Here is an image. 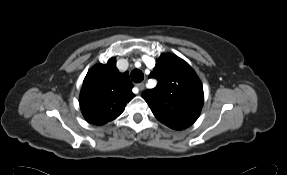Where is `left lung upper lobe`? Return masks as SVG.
<instances>
[{
    "label": "left lung upper lobe",
    "mask_w": 287,
    "mask_h": 175,
    "mask_svg": "<svg viewBox=\"0 0 287 175\" xmlns=\"http://www.w3.org/2000/svg\"><path fill=\"white\" fill-rule=\"evenodd\" d=\"M158 85L142 93L155 117L182 130L191 126L203 107V87L191 66L172 54H162L149 75Z\"/></svg>",
    "instance_id": "1"
}]
</instances>
